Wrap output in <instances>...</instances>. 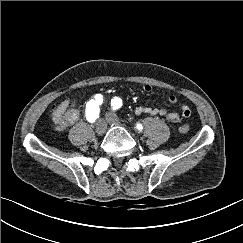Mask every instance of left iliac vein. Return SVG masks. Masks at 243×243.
<instances>
[{
	"label": "left iliac vein",
	"instance_id": "1",
	"mask_svg": "<svg viewBox=\"0 0 243 243\" xmlns=\"http://www.w3.org/2000/svg\"><path fill=\"white\" fill-rule=\"evenodd\" d=\"M106 121L112 125H120L118 117L112 112L106 113Z\"/></svg>",
	"mask_w": 243,
	"mask_h": 243
}]
</instances>
